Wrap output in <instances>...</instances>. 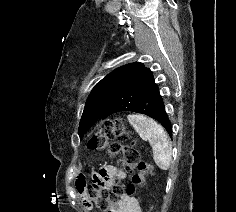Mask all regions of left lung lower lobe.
<instances>
[{"label": "left lung lower lobe", "instance_id": "obj_1", "mask_svg": "<svg viewBox=\"0 0 236 212\" xmlns=\"http://www.w3.org/2000/svg\"><path fill=\"white\" fill-rule=\"evenodd\" d=\"M122 111L145 114L160 122L172 137V126L154 81L153 73L142 63L136 68L119 94L107 106L102 119Z\"/></svg>", "mask_w": 236, "mask_h": 212}]
</instances>
